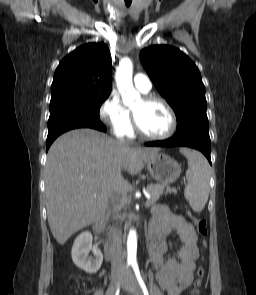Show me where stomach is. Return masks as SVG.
Returning <instances> with one entry per match:
<instances>
[{
	"label": "stomach",
	"instance_id": "obj_1",
	"mask_svg": "<svg viewBox=\"0 0 256 295\" xmlns=\"http://www.w3.org/2000/svg\"><path fill=\"white\" fill-rule=\"evenodd\" d=\"M146 164L152 178L164 185L175 182L181 174L178 162L162 152L156 153Z\"/></svg>",
	"mask_w": 256,
	"mask_h": 295
}]
</instances>
